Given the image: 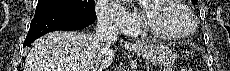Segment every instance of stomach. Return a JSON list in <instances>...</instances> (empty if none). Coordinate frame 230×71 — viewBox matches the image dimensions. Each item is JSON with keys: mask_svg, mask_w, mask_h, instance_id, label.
I'll return each instance as SVG.
<instances>
[{"mask_svg": "<svg viewBox=\"0 0 230 71\" xmlns=\"http://www.w3.org/2000/svg\"><path fill=\"white\" fill-rule=\"evenodd\" d=\"M132 50L155 65L168 66L175 60V54L163 44L144 45L141 48H132Z\"/></svg>", "mask_w": 230, "mask_h": 71, "instance_id": "obj_1", "label": "stomach"}]
</instances>
